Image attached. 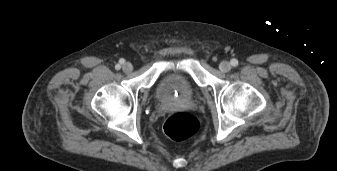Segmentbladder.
<instances>
[{
    "mask_svg": "<svg viewBox=\"0 0 337 171\" xmlns=\"http://www.w3.org/2000/svg\"><path fill=\"white\" fill-rule=\"evenodd\" d=\"M195 93L196 88L192 81L177 72L165 74L159 80L155 90V95L161 102H168L176 97L189 100Z\"/></svg>",
    "mask_w": 337,
    "mask_h": 171,
    "instance_id": "1",
    "label": "bladder"
}]
</instances>
